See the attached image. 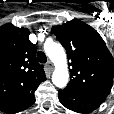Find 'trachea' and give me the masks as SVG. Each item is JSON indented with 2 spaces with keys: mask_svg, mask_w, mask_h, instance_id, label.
Returning <instances> with one entry per match:
<instances>
[{
  "mask_svg": "<svg viewBox=\"0 0 114 114\" xmlns=\"http://www.w3.org/2000/svg\"><path fill=\"white\" fill-rule=\"evenodd\" d=\"M37 59H38V61H39L40 63H46V62H47V57H46L45 53L42 52V51H39V52L37 53Z\"/></svg>",
  "mask_w": 114,
  "mask_h": 114,
  "instance_id": "1",
  "label": "trachea"
}]
</instances>
